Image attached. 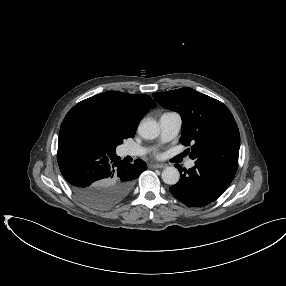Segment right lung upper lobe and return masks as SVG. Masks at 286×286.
Returning <instances> with one entry per match:
<instances>
[{
  "mask_svg": "<svg viewBox=\"0 0 286 286\" xmlns=\"http://www.w3.org/2000/svg\"><path fill=\"white\" fill-rule=\"evenodd\" d=\"M156 102L148 95L108 91L79 102L70 112L88 111L102 118L114 138L134 137L139 120Z\"/></svg>",
  "mask_w": 286,
  "mask_h": 286,
  "instance_id": "1",
  "label": "right lung upper lobe"
}]
</instances>
